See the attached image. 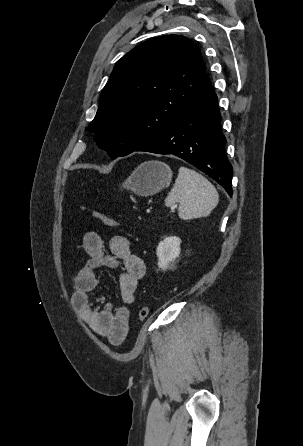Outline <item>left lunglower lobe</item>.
<instances>
[{
	"instance_id": "obj_1",
	"label": "left lung lower lobe",
	"mask_w": 303,
	"mask_h": 446,
	"mask_svg": "<svg viewBox=\"0 0 303 446\" xmlns=\"http://www.w3.org/2000/svg\"><path fill=\"white\" fill-rule=\"evenodd\" d=\"M220 122L217 97L210 83L191 100L171 128L135 151L176 155L213 178L232 196V166Z\"/></svg>"
}]
</instances>
